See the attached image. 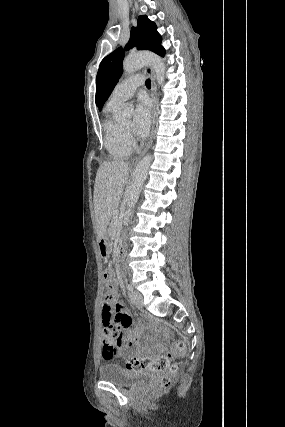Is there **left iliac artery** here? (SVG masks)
<instances>
[{
  "mask_svg": "<svg viewBox=\"0 0 285 427\" xmlns=\"http://www.w3.org/2000/svg\"><path fill=\"white\" fill-rule=\"evenodd\" d=\"M127 290H128L129 292H132V291H133V287H132V285L128 284V285H127Z\"/></svg>",
  "mask_w": 285,
  "mask_h": 427,
  "instance_id": "1",
  "label": "left iliac artery"
}]
</instances>
